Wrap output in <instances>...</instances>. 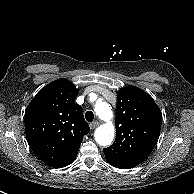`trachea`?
Segmentation results:
<instances>
[{
    "label": "trachea",
    "mask_w": 194,
    "mask_h": 194,
    "mask_svg": "<svg viewBox=\"0 0 194 194\" xmlns=\"http://www.w3.org/2000/svg\"><path fill=\"white\" fill-rule=\"evenodd\" d=\"M85 118L88 122H92L94 120V114L92 111H87L85 113Z\"/></svg>",
    "instance_id": "3493384b"
}]
</instances>
